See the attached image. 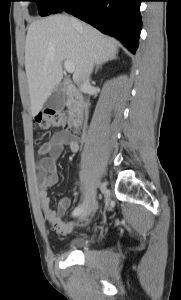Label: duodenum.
Segmentation results:
<instances>
[{
    "label": "duodenum",
    "mask_w": 181,
    "mask_h": 300,
    "mask_svg": "<svg viewBox=\"0 0 181 300\" xmlns=\"http://www.w3.org/2000/svg\"><path fill=\"white\" fill-rule=\"evenodd\" d=\"M69 109L72 125L75 127L81 126L84 123L86 117L87 105L85 104L82 96L77 91H74L71 94L69 100Z\"/></svg>",
    "instance_id": "410a0bca"
}]
</instances>
